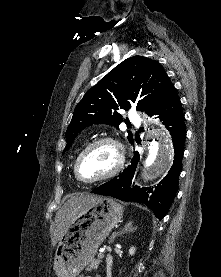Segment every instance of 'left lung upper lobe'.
Masks as SVG:
<instances>
[{
	"mask_svg": "<svg viewBox=\"0 0 221 277\" xmlns=\"http://www.w3.org/2000/svg\"><path fill=\"white\" fill-rule=\"evenodd\" d=\"M174 90L162 66L155 60L133 56L116 66L84 95L77 104L66 131V152L77 133L85 127L104 123L118 128L123 122L119 109H136L153 115L158 106ZM139 98H141L139 100ZM133 142V134L128 132Z\"/></svg>",
	"mask_w": 221,
	"mask_h": 277,
	"instance_id": "5c2ea615",
	"label": "left lung upper lobe"
}]
</instances>
